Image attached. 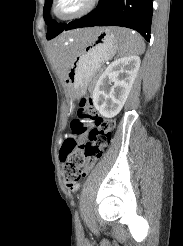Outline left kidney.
I'll return each mask as SVG.
<instances>
[{"instance_id":"obj_1","label":"left kidney","mask_w":183,"mask_h":246,"mask_svg":"<svg viewBox=\"0 0 183 246\" xmlns=\"http://www.w3.org/2000/svg\"><path fill=\"white\" fill-rule=\"evenodd\" d=\"M140 63V57L136 55L118 58L99 77L93 91V104L102 116L113 118L121 111Z\"/></svg>"}]
</instances>
